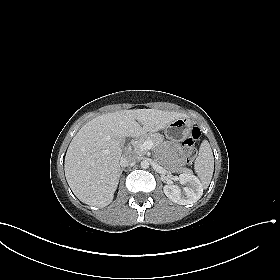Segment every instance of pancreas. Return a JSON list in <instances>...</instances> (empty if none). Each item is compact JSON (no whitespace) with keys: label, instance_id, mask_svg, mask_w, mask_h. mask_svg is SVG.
Here are the masks:
<instances>
[{"label":"pancreas","instance_id":"1","mask_svg":"<svg viewBox=\"0 0 280 280\" xmlns=\"http://www.w3.org/2000/svg\"><path fill=\"white\" fill-rule=\"evenodd\" d=\"M152 141L154 144L158 145L163 141V138L160 134L158 133H148L144 134L141 137H139L136 141L133 142V147L135 149V152L139 155H142L145 153V150L141 149V145L145 141ZM184 171H189V169H184Z\"/></svg>","mask_w":280,"mask_h":280}]
</instances>
